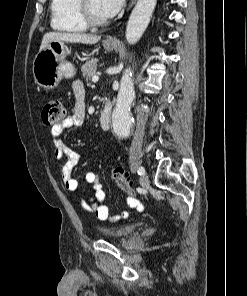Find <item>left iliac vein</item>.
<instances>
[{
    "instance_id": "left-iliac-vein-1",
    "label": "left iliac vein",
    "mask_w": 247,
    "mask_h": 296,
    "mask_svg": "<svg viewBox=\"0 0 247 296\" xmlns=\"http://www.w3.org/2000/svg\"><path fill=\"white\" fill-rule=\"evenodd\" d=\"M140 183L143 187H147L149 185V178L145 172L140 177Z\"/></svg>"
}]
</instances>
